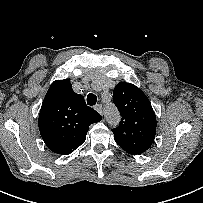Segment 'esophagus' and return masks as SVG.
<instances>
[{
    "mask_svg": "<svg viewBox=\"0 0 203 203\" xmlns=\"http://www.w3.org/2000/svg\"><path fill=\"white\" fill-rule=\"evenodd\" d=\"M95 110L100 114L103 115V107L102 105L98 104L95 106Z\"/></svg>",
    "mask_w": 203,
    "mask_h": 203,
    "instance_id": "esophagus-1",
    "label": "esophagus"
}]
</instances>
